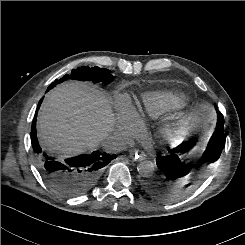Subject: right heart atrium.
<instances>
[{
  "mask_svg": "<svg viewBox=\"0 0 245 245\" xmlns=\"http://www.w3.org/2000/svg\"><path fill=\"white\" fill-rule=\"evenodd\" d=\"M115 109L117 133L126 139L137 136L142 130L143 124L129 99L125 96L117 98Z\"/></svg>",
  "mask_w": 245,
  "mask_h": 245,
  "instance_id": "obj_1",
  "label": "right heart atrium"
}]
</instances>
